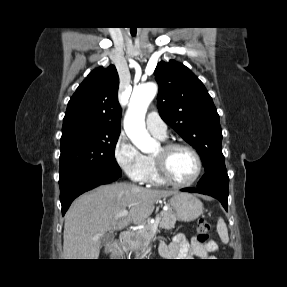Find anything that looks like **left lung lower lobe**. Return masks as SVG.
Instances as JSON below:
<instances>
[{
	"instance_id": "0a47b994",
	"label": "left lung lower lobe",
	"mask_w": 287,
	"mask_h": 287,
	"mask_svg": "<svg viewBox=\"0 0 287 287\" xmlns=\"http://www.w3.org/2000/svg\"><path fill=\"white\" fill-rule=\"evenodd\" d=\"M181 191L195 192V193H200V194L212 196V197L218 199L221 202V204L223 205V207L227 210L228 193H226L222 190L197 187V188H184V189H181Z\"/></svg>"
}]
</instances>
